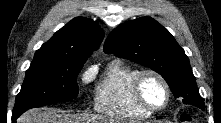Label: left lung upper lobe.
Returning a JSON list of instances; mask_svg holds the SVG:
<instances>
[{"mask_svg":"<svg viewBox=\"0 0 221 123\" xmlns=\"http://www.w3.org/2000/svg\"><path fill=\"white\" fill-rule=\"evenodd\" d=\"M104 52L129 59L159 73L175 97L204 109L189 59L174 37L150 17L120 25L107 37Z\"/></svg>","mask_w":221,"mask_h":123,"instance_id":"left-lung-upper-lobe-1","label":"left lung upper lobe"}]
</instances>
